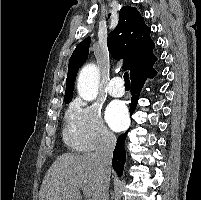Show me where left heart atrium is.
<instances>
[{
    "mask_svg": "<svg viewBox=\"0 0 201 200\" xmlns=\"http://www.w3.org/2000/svg\"><path fill=\"white\" fill-rule=\"evenodd\" d=\"M106 120L112 129L122 130L128 121L126 106L118 101L110 103L106 110Z\"/></svg>",
    "mask_w": 201,
    "mask_h": 200,
    "instance_id": "1",
    "label": "left heart atrium"
}]
</instances>
